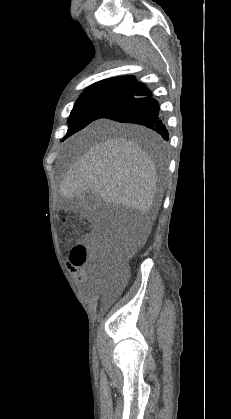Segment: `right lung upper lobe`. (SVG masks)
Returning <instances> with one entry per match:
<instances>
[{
  "label": "right lung upper lobe",
  "instance_id": "1",
  "mask_svg": "<svg viewBox=\"0 0 231 419\" xmlns=\"http://www.w3.org/2000/svg\"><path fill=\"white\" fill-rule=\"evenodd\" d=\"M138 84L139 83L136 81L134 76H124V77H114V78L105 79V80L94 83L88 88L102 87V86L136 87Z\"/></svg>",
  "mask_w": 231,
  "mask_h": 419
}]
</instances>
